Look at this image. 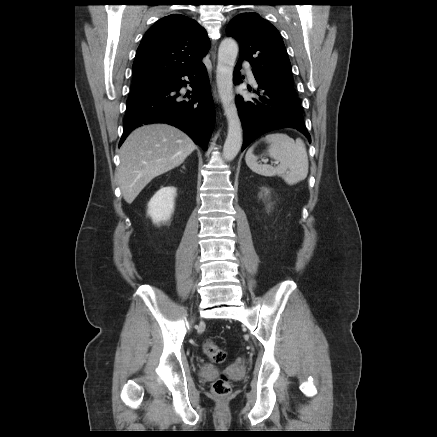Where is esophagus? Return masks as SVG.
Masks as SVG:
<instances>
[{"mask_svg":"<svg viewBox=\"0 0 437 437\" xmlns=\"http://www.w3.org/2000/svg\"><path fill=\"white\" fill-rule=\"evenodd\" d=\"M213 94H214V97L217 99V93H216V90H213Z\"/></svg>","mask_w":437,"mask_h":437,"instance_id":"34e87169","label":"esophagus"}]
</instances>
